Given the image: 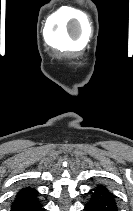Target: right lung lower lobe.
<instances>
[{
	"label": "right lung lower lobe",
	"mask_w": 133,
	"mask_h": 211,
	"mask_svg": "<svg viewBox=\"0 0 133 211\" xmlns=\"http://www.w3.org/2000/svg\"><path fill=\"white\" fill-rule=\"evenodd\" d=\"M11 211H45V209L42 208V204L37 199L34 202L13 207L11 208Z\"/></svg>",
	"instance_id": "right-lung-lower-lobe-1"
}]
</instances>
